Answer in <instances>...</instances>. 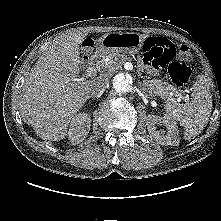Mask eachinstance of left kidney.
<instances>
[{
  "instance_id": "obj_1",
  "label": "left kidney",
  "mask_w": 221,
  "mask_h": 221,
  "mask_svg": "<svg viewBox=\"0 0 221 221\" xmlns=\"http://www.w3.org/2000/svg\"><path fill=\"white\" fill-rule=\"evenodd\" d=\"M164 124L167 128V134L162 135L156 130V124ZM147 129L151 137L159 144L164 146H177L179 144V131L176 122L172 121L168 117L161 118L157 115H149L147 121Z\"/></svg>"
}]
</instances>
